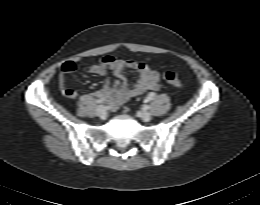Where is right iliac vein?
<instances>
[{"mask_svg":"<svg viewBox=\"0 0 260 205\" xmlns=\"http://www.w3.org/2000/svg\"><path fill=\"white\" fill-rule=\"evenodd\" d=\"M96 114L100 117V118H105L107 115L106 109L104 106H98L97 110H96Z\"/></svg>","mask_w":260,"mask_h":205,"instance_id":"right-iliac-vein-1","label":"right iliac vein"}]
</instances>
